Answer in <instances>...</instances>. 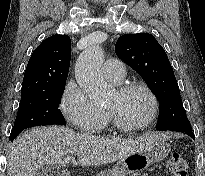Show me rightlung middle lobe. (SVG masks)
Returning a JSON list of instances; mask_svg holds the SVG:
<instances>
[{"label": "right lung middle lobe", "instance_id": "dd1d6c3e", "mask_svg": "<svg viewBox=\"0 0 205 176\" xmlns=\"http://www.w3.org/2000/svg\"><path fill=\"white\" fill-rule=\"evenodd\" d=\"M64 86L65 84H62L45 91L21 96L15 124L10 134L11 141L26 128L66 124L58 109Z\"/></svg>", "mask_w": 205, "mask_h": 176}]
</instances>
